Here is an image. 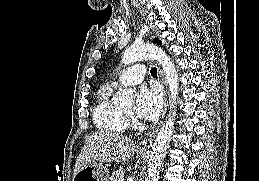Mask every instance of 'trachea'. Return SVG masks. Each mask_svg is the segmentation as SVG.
<instances>
[{
  "label": "trachea",
  "mask_w": 259,
  "mask_h": 181,
  "mask_svg": "<svg viewBox=\"0 0 259 181\" xmlns=\"http://www.w3.org/2000/svg\"><path fill=\"white\" fill-rule=\"evenodd\" d=\"M150 72L152 76H157V69L155 67L151 68Z\"/></svg>",
  "instance_id": "1"
}]
</instances>
